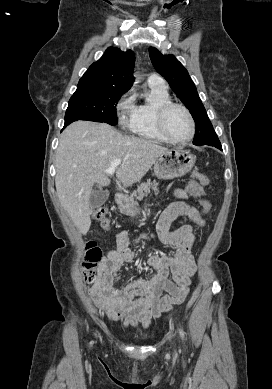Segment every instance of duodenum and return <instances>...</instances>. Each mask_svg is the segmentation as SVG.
I'll return each instance as SVG.
<instances>
[{"label": "duodenum", "mask_w": 272, "mask_h": 389, "mask_svg": "<svg viewBox=\"0 0 272 389\" xmlns=\"http://www.w3.org/2000/svg\"><path fill=\"white\" fill-rule=\"evenodd\" d=\"M115 200H116V202H117L118 204H122V203H123V198H122V196L119 195V194H116V195H115Z\"/></svg>", "instance_id": "410a0bca"}]
</instances>
